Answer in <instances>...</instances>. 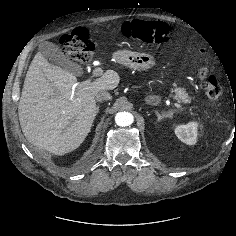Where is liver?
Returning <instances> with one entry per match:
<instances>
[{
    "instance_id": "obj_1",
    "label": "liver",
    "mask_w": 236,
    "mask_h": 236,
    "mask_svg": "<svg viewBox=\"0 0 236 236\" xmlns=\"http://www.w3.org/2000/svg\"><path fill=\"white\" fill-rule=\"evenodd\" d=\"M119 81L118 74L108 70L92 82L75 86L73 73L50 64L38 52L27 71L18 106L24 136L56 155L75 150L93 126L98 112L96 93L115 89Z\"/></svg>"
}]
</instances>
